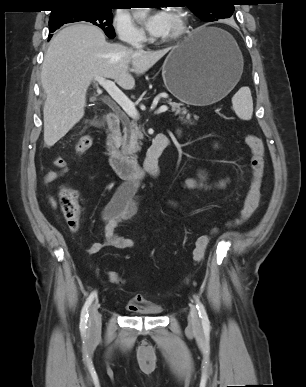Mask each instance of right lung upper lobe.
<instances>
[{"mask_svg": "<svg viewBox=\"0 0 306 387\" xmlns=\"http://www.w3.org/2000/svg\"><path fill=\"white\" fill-rule=\"evenodd\" d=\"M56 8L52 12H58L66 7L73 6H103L110 7L113 0H55Z\"/></svg>", "mask_w": 306, "mask_h": 387, "instance_id": "right-lung-upper-lobe-1", "label": "right lung upper lobe"}]
</instances>
